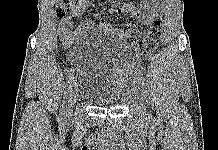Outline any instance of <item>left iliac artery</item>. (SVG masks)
Instances as JSON below:
<instances>
[{
	"mask_svg": "<svg viewBox=\"0 0 218 150\" xmlns=\"http://www.w3.org/2000/svg\"><path fill=\"white\" fill-rule=\"evenodd\" d=\"M139 80H140L141 86L143 87V89H144V91H145V89H147V88H146L145 78H144L143 76H140Z\"/></svg>",
	"mask_w": 218,
	"mask_h": 150,
	"instance_id": "left-iliac-artery-1",
	"label": "left iliac artery"
}]
</instances>
